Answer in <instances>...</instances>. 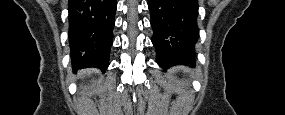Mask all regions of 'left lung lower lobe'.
Returning <instances> with one entry per match:
<instances>
[{"mask_svg":"<svg viewBox=\"0 0 285 115\" xmlns=\"http://www.w3.org/2000/svg\"><path fill=\"white\" fill-rule=\"evenodd\" d=\"M153 29L152 43L162 68L195 63L199 38L196 0H148Z\"/></svg>","mask_w":285,"mask_h":115,"instance_id":"1","label":"left lung lower lobe"}]
</instances>
